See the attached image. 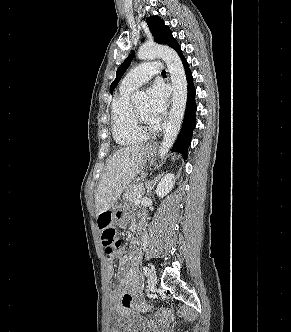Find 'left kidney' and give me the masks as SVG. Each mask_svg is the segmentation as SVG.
Instances as JSON below:
<instances>
[{
    "label": "left kidney",
    "instance_id": "left-kidney-1",
    "mask_svg": "<svg viewBox=\"0 0 291 332\" xmlns=\"http://www.w3.org/2000/svg\"><path fill=\"white\" fill-rule=\"evenodd\" d=\"M175 184L174 174H166L157 185L156 194L158 197L163 198L167 195Z\"/></svg>",
    "mask_w": 291,
    "mask_h": 332
}]
</instances>
